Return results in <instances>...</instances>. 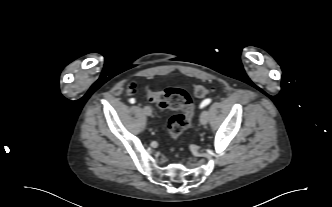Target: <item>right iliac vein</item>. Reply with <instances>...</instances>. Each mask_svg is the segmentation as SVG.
I'll use <instances>...</instances> for the list:
<instances>
[{"label":"right iliac vein","mask_w":332,"mask_h":207,"mask_svg":"<svg viewBox=\"0 0 332 207\" xmlns=\"http://www.w3.org/2000/svg\"><path fill=\"white\" fill-rule=\"evenodd\" d=\"M143 112L145 113V115L150 116L152 114V109L149 106H145L143 108Z\"/></svg>","instance_id":"right-iliac-vein-1"}]
</instances>
